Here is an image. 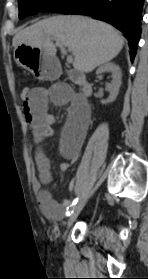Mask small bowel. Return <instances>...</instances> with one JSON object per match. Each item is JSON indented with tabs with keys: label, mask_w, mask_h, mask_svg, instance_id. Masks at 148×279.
<instances>
[{
	"label": "small bowel",
	"mask_w": 148,
	"mask_h": 279,
	"mask_svg": "<svg viewBox=\"0 0 148 279\" xmlns=\"http://www.w3.org/2000/svg\"><path fill=\"white\" fill-rule=\"evenodd\" d=\"M49 104L63 106L70 104V111L60 135L59 150L67 162L59 166L61 179L66 178V171L79 157L91 121L90 108L85 100L74 95L72 89L56 83L49 87H38L31 90V98L23 102V111L27 123L34 135V155L41 178L33 182V189L38 197L40 209L59 219L70 206V200L57 201L44 189V183L50 179L49 163L39 149V143L54 134V120L48 113ZM72 188V187H71Z\"/></svg>",
	"instance_id": "obj_1"
}]
</instances>
